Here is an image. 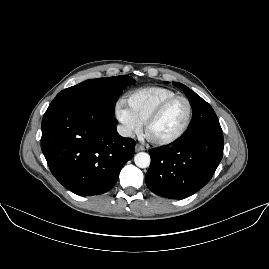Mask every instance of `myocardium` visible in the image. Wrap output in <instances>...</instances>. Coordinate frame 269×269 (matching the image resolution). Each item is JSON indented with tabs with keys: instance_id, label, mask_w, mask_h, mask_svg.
<instances>
[{
	"instance_id": "f54148a6",
	"label": "myocardium",
	"mask_w": 269,
	"mask_h": 269,
	"mask_svg": "<svg viewBox=\"0 0 269 269\" xmlns=\"http://www.w3.org/2000/svg\"><path fill=\"white\" fill-rule=\"evenodd\" d=\"M178 100H183L186 102L187 104V116H186V120L185 123L183 125V127L180 129V131L175 134L173 137L165 139V140H160V141H156L153 140L150 136H149V129L152 126L153 123H155L160 117L161 115L166 111V109L173 104L174 102L178 101ZM191 118H192V105L191 102L189 101L188 98L184 97V96H175L172 97L166 101H164L162 104H160L146 119L145 123H144V129H143V135L144 138L153 146L156 147H166L169 145H172L174 143H176L178 140H180L185 133L187 132L189 126H190V122H191Z\"/></svg>"
}]
</instances>
